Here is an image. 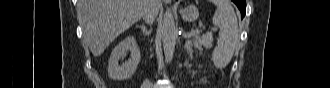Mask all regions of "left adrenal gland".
<instances>
[{"label": "left adrenal gland", "instance_id": "1", "mask_svg": "<svg viewBox=\"0 0 330 88\" xmlns=\"http://www.w3.org/2000/svg\"><path fill=\"white\" fill-rule=\"evenodd\" d=\"M184 47L187 49L189 53H192V47L188 43H185Z\"/></svg>", "mask_w": 330, "mask_h": 88}]
</instances>
